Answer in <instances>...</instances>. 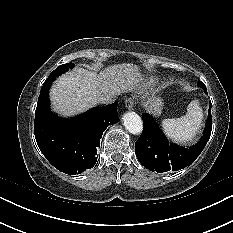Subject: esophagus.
Listing matches in <instances>:
<instances>
[{"label": "esophagus", "instance_id": "1", "mask_svg": "<svg viewBox=\"0 0 233 233\" xmlns=\"http://www.w3.org/2000/svg\"><path fill=\"white\" fill-rule=\"evenodd\" d=\"M133 105H134V101L131 98H128L125 100V106L129 110H131L133 108Z\"/></svg>", "mask_w": 233, "mask_h": 233}]
</instances>
